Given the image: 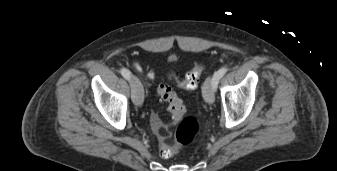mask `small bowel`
<instances>
[{
  "instance_id": "c3829d8e",
  "label": "small bowel",
  "mask_w": 337,
  "mask_h": 171,
  "mask_svg": "<svg viewBox=\"0 0 337 171\" xmlns=\"http://www.w3.org/2000/svg\"><path fill=\"white\" fill-rule=\"evenodd\" d=\"M133 67L135 68L136 71L142 72V67L138 62L133 63ZM155 78V72L153 70H148L147 71V79L149 81H152Z\"/></svg>"
}]
</instances>
